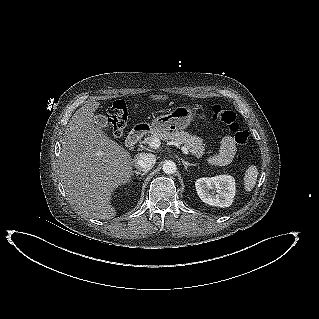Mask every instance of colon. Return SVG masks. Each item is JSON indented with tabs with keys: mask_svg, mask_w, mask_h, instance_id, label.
Segmentation results:
<instances>
[{
	"mask_svg": "<svg viewBox=\"0 0 319 319\" xmlns=\"http://www.w3.org/2000/svg\"><path fill=\"white\" fill-rule=\"evenodd\" d=\"M107 116L112 133L115 136L122 135L128 118V110L124 101H115L108 109ZM211 116L213 119L225 124L229 131L234 135V141L236 144L243 148H248L250 145L249 134L247 131L240 128V124L237 121L236 114L227 108L220 105H214L211 107Z\"/></svg>",
	"mask_w": 319,
	"mask_h": 319,
	"instance_id": "1",
	"label": "colon"
}]
</instances>
